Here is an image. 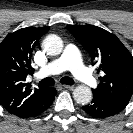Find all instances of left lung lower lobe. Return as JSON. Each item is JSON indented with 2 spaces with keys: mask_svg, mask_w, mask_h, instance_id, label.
Wrapping results in <instances>:
<instances>
[{
  "mask_svg": "<svg viewBox=\"0 0 133 133\" xmlns=\"http://www.w3.org/2000/svg\"><path fill=\"white\" fill-rule=\"evenodd\" d=\"M82 108L86 114L92 117L106 118L118 114L125 106L94 94L92 102Z\"/></svg>",
  "mask_w": 133,
  "mask_h": 133,
  "instance_id": "0a47b994",
  "label": "left lung lower lobe"
}]
</instances>
